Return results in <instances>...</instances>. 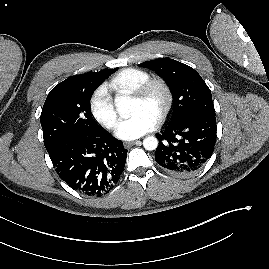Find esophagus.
I'll return each instance as SVG.
<instances>
[{
	"instance_id": "1",
	"label": "esophagus",
	"mask_w": 269,
	"mask_h": 269,
	"mask_svg": "<svg viewBox=\"0 0 269 269\" xmlns=\"http://www.w3.org/2000/svg\"><path fill=\"white\" fill-rule=\"evenodd\" d=\"M139 143H141V141H139V140H136V141H126V142H124V147L125 148H129L132 145L139 144Z\"/></svg>"
}]
</instances>
